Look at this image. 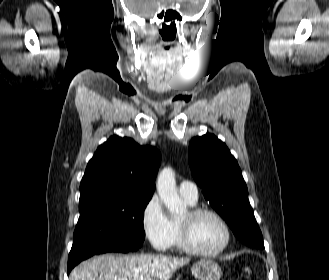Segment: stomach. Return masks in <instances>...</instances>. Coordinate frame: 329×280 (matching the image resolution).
<instances>
[{
	"mask_svg": "<svg viewBox=\"0 0 329 280\" xmlns=\"http://www.w3.org/2000/svg\"><path fill=\"white\" fill-rule=\"evenodd\" d=\"M192 274L198 280H220L222 271L212 260H201L191 268Z\"/></svg>",
	"mask_w": 329,
	"mask_h": 280,
	"instance_id": "stomach-1",
	"label": "stomach"
}]
</instances>
